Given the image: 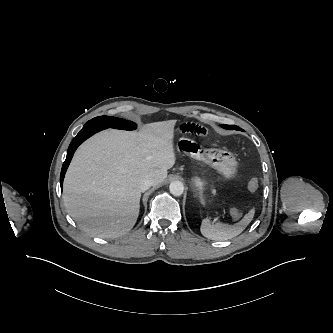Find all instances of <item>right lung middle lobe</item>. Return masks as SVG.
Returning a JSON list of instances; mask_svg holds the SVG:
<instances>
[{"mask_svg": "<svg viewBox=\"0 0 333 333\" xmlns=\"http://www.w3.org/2000/svg\"><path fill=\"white\" fill-rule=\"evenodd\" d=\"M111 127V128H116V129H125V130H133L136 128V124L127 121L124 119L116 118V117H111V116H99L95 117L91 120H89L84 127Z\"/></svg>", "mask_w": 333, "mask_h": 333, "instance_id": "1", "label": "right lung middle lobe"}]
</instances>
